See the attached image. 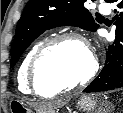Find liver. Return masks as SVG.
<instances>
[{
  "mask_svg": "<svg viewBox=\"0 0 123 113\" xmlns=\"http://www.w3.org/2000/svg\"><path fill=\"white\" fill-rule=\"evenodd\" d=\"M66 103H67V100H60V101L41 104L40 107L42 111H47V110H52L53 108H56V107H60Z\"/></svg>",
  "mask_w": 123,
  "mask_h": 113,
  "instance_id": "6515ba94",
  "label": "liver"
}]
</instances>
